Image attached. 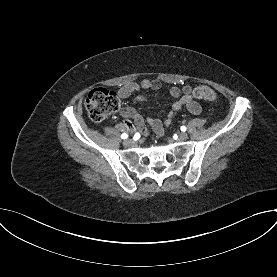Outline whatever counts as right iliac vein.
Wrapping results in <instances>:
<instances>
[{
	"label": "right iliac vein",
	"mask_w": 277,
	"mask_h": 277,
	"mask_svg": "<svg viewBox=\"0 0 277 277\" xmlns=\"http://www.w3.org/2000/svg\"><path fill=\"white\" fill-rule=\"evenodd\" d=\"M133 144H134V142H133V140H131V139H126V140L123 141V145H124L125 147H132Z\"/></svg>",
	"instance_id": "1"
}]
</instances>
